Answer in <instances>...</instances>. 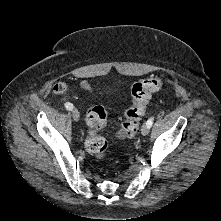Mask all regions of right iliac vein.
<instances>
[{
  "label": "right iliac vein",
  "mask_w": 221,
  "mask_h": 221,
  "mask_svg": "<svg viewBox=\"0 0 221 221\" xmlns=\"http://www.w3.org/2000/svg\"><path fill=\"white\" fill-rule=\"evenodd\" d=\"M72 117L75 121H78L80 118L79 111L75 108L72 110Z\"/></svg>",
  "instance_id": "right-iliac-vein-1"
}]
</instances>
